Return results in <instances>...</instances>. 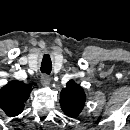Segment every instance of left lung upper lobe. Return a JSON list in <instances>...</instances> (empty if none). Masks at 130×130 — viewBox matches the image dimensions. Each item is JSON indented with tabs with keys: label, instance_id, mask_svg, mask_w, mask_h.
<instances>
[{
	"label": "left lung upper lobe",
	"instance_id": "obj_1",
	"mask_svg": "<svg viewBox=\"0 0 130 130\" xmlns=\"http://www.w3.org/2000/svg\"><path fill=\"white\" fill-rule=\"evenodd\" d=\"M86 95L83 88L70 80L60 93V105L63 112L72 118H76L83 110Z\"/></svg>",
	"mask_w": 130,
	"mask_h": 130
}]
</instances>
